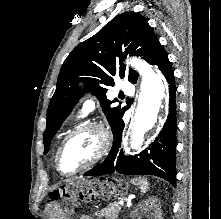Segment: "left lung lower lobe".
<instances>
[{"instance_id":"1","label":"left lung lower lobe","mask_w":221,"mask_h":219,"mask_svg":"<svg viewBox=\"0 0 221 219\" xmlns=\"http://www.w3.org/2000/svg\"><path fill=\"white\" fill-rule=\"evenodd\" d=\"M150 64L157 65L169 83V113L167 120L155 141L141 153L124 156L120 150L124 122L121 120L114 135V145L103 163L92 168L84 176H99L114 172L126 175H155L173 186L176 185V87L174 74L168 56L160 45Z\"/></svg>"}]
</instances>
